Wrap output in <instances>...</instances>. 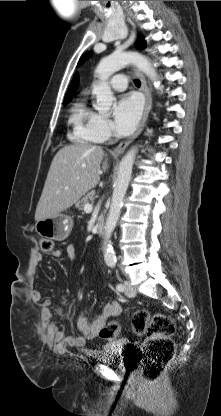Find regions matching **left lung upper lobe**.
<instances>
[{
  "label": "left lung upper lobe",
  "instance_id": "1",
  "mask_svg": "<svg viewBox=\"0 0 221 416\" xmlns=\"http://www.w3.org/2000/svg\"><path fill=\"white\" fill-rule=\"evenodd\" d=\"M136 47L138 49H143L146 47V43L142 38H139L136 42ZM89 56V53H86L82 56L81 61H83L84 59H86Z\"/></svg>",
  "mask_w": 221,
  "mask_h": 416
}]
</instances>
